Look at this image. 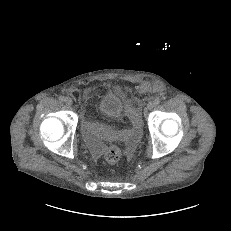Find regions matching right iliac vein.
Wrapping results in <instances>:
<instances>
[{
	"instance_id": "obj_1",
	"label": "right iliac vein",
	"mask_w": 231,
	"mask_h": 231,
	"mask_svg": "<svg viewBox=\"0 0 231 231\" xmlns=\"http://www.w3.org/2000/svg\"><path fill=\"white\" fill-rule=\"evenodd\" d=\"M65 102L69 106L73 104V101H72V99L70 97H67L66 100H65Z\"/></svg>"
}]
</instances>
